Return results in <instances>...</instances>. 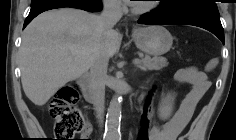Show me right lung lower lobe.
Listing matches in <instances>:
<instances>
[{
	"label": "right lung lower lobe",
	"mask_w": 236,
	"mask_h": 140,
	"mask_svg": "<svg viewBox=\"0 0 236 140\" xmlns=\"http://www.w3.org/2000/svg\"><path fill=\"white\" fill-rule=\"evenodd\" d=\"M63 7H72V8H78L86 11H100L102 9V5L99 6H91L88 4H85L83 2L77 1V0H58L53 2H48L44 4H40L34 7H31L30 13L28 17L26 18L24 22V28L32 21L33 18H35L38 14L51 10L56 8H63Z\"/></svg>",
	"instance_id": "98d812e1"
}]
</instances>
